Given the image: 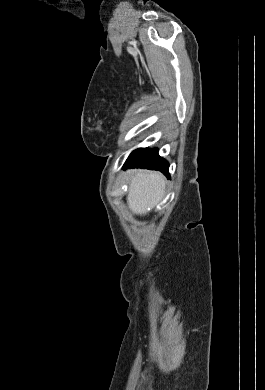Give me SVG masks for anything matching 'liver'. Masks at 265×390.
<instances>
[{
  "mask_svg": "<svg viewBox=\"0 0 265 390\" xmlns=\"http://www.w3.org/2000/svg\"><path fill=\"white\" fill-rule=\"evenodd\" d=\"M165 192V179L159 172L140 170L131 177L127 204L137 215H146L162 199Z\"/></svg>",
  "mask_w": 265,
  "mask_h": 390,
  "instance_id": "liver-1",
  "label": "liver"
}]
</instances>
